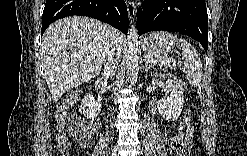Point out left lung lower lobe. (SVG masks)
Segmentation results:
<instances>
[{
    "mask_svg": "<svg viewBox=\"0 0 247 156\" xmlns=\"http://www.w3.org/2000/svg\"><path fill=\"white\" fill-rule=\"evenodd\" d=\"M139 34L174 31L199 41L207 53L208 15L205 0H144L137 11Z\"/></svg>",
    "mask_w": 247,
    "mask_h": 156,
    "instance_id": "1",
    "label": "left lung lower lobe"
}]
</instances>
